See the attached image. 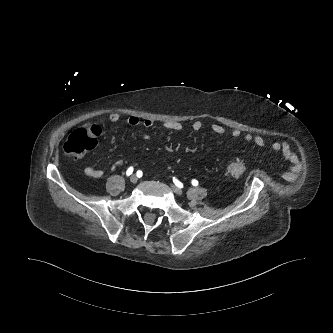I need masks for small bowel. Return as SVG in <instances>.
<instances>
[{"instance_id":"1","label":"small bowel","mask_w":333,"mask_h":333,"mask_svg":"<svg viewBox=\"0 0 333 333\" xmlns=\"http://www.w3.org/2000/svg\"><path fill=\"white\" fill-rule=\"evenodd\" d=\"M121 116L118 113H112L109 116V120L112 123H117L120 121ZM126 124L130 127H135L138 125H142L145 129H150L153 127L154 122L153 120L146 118L143 120H140L137 116H130L126 119ZM164 127L168 131L177 132L183 129V125L179 122L175 121H168L164 124ZM203 123L201 120L197 119L192 123V131L198 132L202 129ZM212 131L215 134H223L225 132V129L223 126L219 124L212 125ZM231 135L234 138H238L241 136V131L239 129H233L231 132ZM142 139L144 141H150L151 136L148 132H145L142 135ZM245 141L247 142H254L257 146L263 147L265 145V140L261 136H254L250 133L245 134L244 136ZM272 149L275 152L281 153L284 160L290 164L289 170L286 172V176L288 178H293L296 173H298L300 169V161L297 156V154L292 150L291 146L288 142L282 141V142H274L272 144ZM84 173L91 177V178H101L104 175V171L99 168H94L92 166H85L84 167Z\"/></svg>"}]
</instances>
